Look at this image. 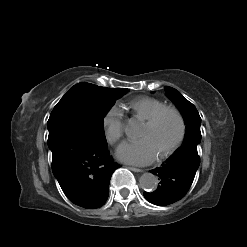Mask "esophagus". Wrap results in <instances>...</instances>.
<instances>
[{"label":"esophagus","mask_w":247,"mask_h":247,"mask_svg":"<svg viewBox=\"0 0 247 247\" xmlns=\"http://www.w3.org/2000/svg\"><path fill=\"white\" fill-rule=\"evenodd\" d=\"M128 169H130L133 172H142L143 171L142 169L135 168V167H128Z\"/></svg>","instance_id":"34e87169"}]
</instances>
